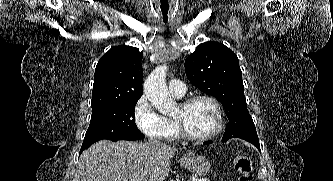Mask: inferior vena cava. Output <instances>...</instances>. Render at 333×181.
<instances>
[{"label": "inferior vena cava", "instance_id": "602c4592", "mask_svg": "<svg viewBox=\"0 0 333 181\" xmlns=\"http://www.w3.org/2000/svg\"><path fill=\"white\" fill-rule=\"evenodd\" d=\"M148 144L152 147H166L167 145L159 140L150 139Z\"/></svg>", "mask_w": 333, "mask_h": 181}]
</instances>
